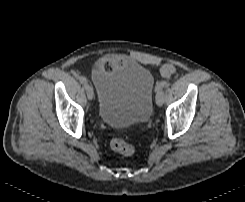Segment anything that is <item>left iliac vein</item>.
<instances>
[{
	"mask_svg": "<svg viewBox=\"0 0 245 202\" xmlns=\"http://www.w3.org/2000/svg\"><path fill=\"white\" fill-rule=\"evenodd\" d=\"M164 103V91L161 90L158 95H156V104L161 107Z\"/></svg>",
	"mask_w": 245,
	"mask_h": 202,
	"instance_id": "1",
	"label": "left iliac vein"
}]
</instances>
